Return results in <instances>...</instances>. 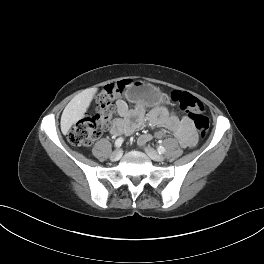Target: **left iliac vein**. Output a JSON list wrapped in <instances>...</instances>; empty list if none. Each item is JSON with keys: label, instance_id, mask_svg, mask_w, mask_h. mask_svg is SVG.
<instances>
[{"label": "left iliac vein", "instance_id": "left-iliac-vein-1", "mask_svg": "<svg viewBox=\"0 0 264 264\" xmlns=\"http://www.w3.org/2000/svg\"><path fill=\"white\" fill-rule=\"evenodd\" d=\"M145 152L147 153V155L153 159L154 161L157 162H162L164 161V157L162 155H160L157 151H155L153 148L151 147H145L144 148Z\"/></svg>", "mask_w": 264, "mask_h": 264}]
</instances>
